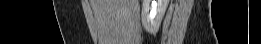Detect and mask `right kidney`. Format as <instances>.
Wrapping results in <instances>:
<instances>
[{"label": "right kidney", "mask_w": 261, "mask_h": 44, "mask_svg": "<svg viewBox=\"0 0 261 44\" xmlns=\"http://www.w3.org/2000/svg\"><path fill=\"white\" fill-rule=\"evenodd\" d=\"M169 0H143L142 4V25L144 29L154 34L158 31Z\"/></svg>", "instance_id": "obj_1"}]
</instances>
